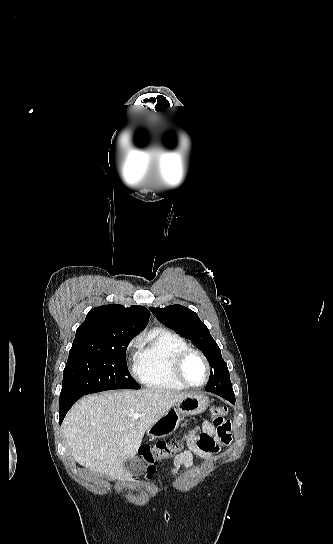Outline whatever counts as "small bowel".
I'll return each mask as SVG.
<instances>
[{
	"instance_id": "1",
	"label": "small bowel",
	"mask_w": 333,
	"mask_h": 544,
	"mask_svg": "<svg viewBox=\"0 0 333 544\" xmlns=\"http://www.w3.org/2000/svg\"><path fill=\"white\" fill-rule=\"evenodd\" d=\"M232 441V425L223 418L214 419L213 422L204 421L202 432L190 434L187 438V450L178 453L173 461V473L179 469H189L193 466L194 458L207 459L219 452L220 445L230 444Z\"/></svg>"
}]
</instances>
